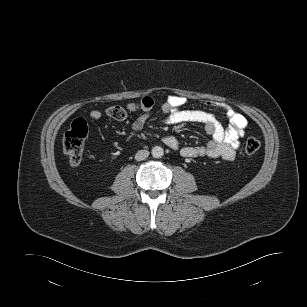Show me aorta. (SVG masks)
Masks as SVG:
<instances>
[{
	"mask_svg": "<svg viewBox=\"0 0 307 307\" xmlns=\"http://www.w3.org/2000/svg\"><path fill=\"white\" fill-rule=\"evenodd\" d=\"M151 153L154 158H161L164 155V150L160 146H155L152 148Z\"/></svg>",
	"mask_w": 307,
	"mask_h": 307,
	"instance_id": "762f6f07",
	"label": "aorta"
}]
</instances>
